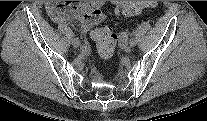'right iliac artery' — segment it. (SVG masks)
<instances>
[{"instance_id": "obj_1", "label": "right iliac artery", "mask_w": 207, "mask_h": 121, "mask_svg": "<svg viewBox=\"0 0 207 121\" xmlns=\"http://www.w3.org/2000/svg\"><path fill=\"white\" fill-rule=\"evenodd\" d=\"M88 49V42H85V44L82 47L83 51H86Z\"/></svg>"}]
</instances>
